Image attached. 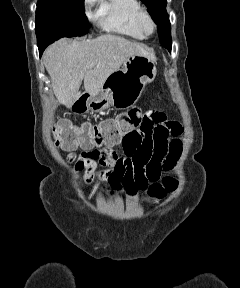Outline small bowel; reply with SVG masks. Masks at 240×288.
<instances>
[{
    "instance_id": "small-bowel-1",
    "label": "small bowel",
    "mask_w": 240,
    "mask_h": 288,
    "mask_svg": "<svg viewBox=\"0 0 240 288\" xmlns=\"http://www.w3.org/2000/svg\"><path fill=\"white\" fill-rule=\"evenodd\" d=\"M182 126L172 121L162 111L150 110L144 113L142 125L121 140L125 156L119 157L114 149L116 143H104L82 147L77 154L68 150L66 162L74 164L73 175L83 171L86 183L95 177L107 179L115 188H124L129 194L145 190L150 183H156L162 172L169 171L177 162L181 151ZM112 165L111 170H98L97 164Z\"/></svg>"
}]
</instances>
